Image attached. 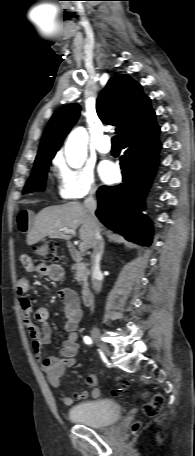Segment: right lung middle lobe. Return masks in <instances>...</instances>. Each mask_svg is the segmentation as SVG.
Segmentation results:
<instances>
[{
	"instance_id": "obj_1",
	"label": "right lung middle lobe",
	"mask_w": 195,
	"mask_h": 456,
	"mask_svg": "<svg viewBox=\"0 0 195 456\" xmlns=\"http://www.w3.org/2000/svg\"><path fill=\"white\" fill-rule=\"evenodd\" d=\"M51 158L44 159L34 165L32 174L28 179L23 194L31 193L33 191H43L45 187V180L48 172Z\"/></svg>"
}]
</instances>
